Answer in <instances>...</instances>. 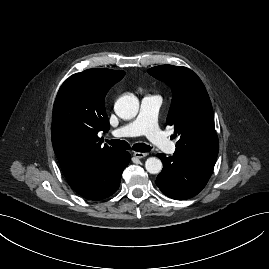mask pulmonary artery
I'll return each mask as SVG.
<instances>
[{"label":"pulmonary artery","mask_w":269,"mask_h":269,"mask_svg":"<svg viewBox=\"0 0 269 269\" xmlns=\"http://www.w3.org/2000/svg\"><path fill=\"white\" fill-rule=\"evenodd\" d=\"M162 99L156 95L145 96L141 100L136 118L113 131L116 137L145 135L156 147L166 153H175L176 144L170 141L157 126V115Z\"/></svg>","instance_id":"1"}]
</instances>
